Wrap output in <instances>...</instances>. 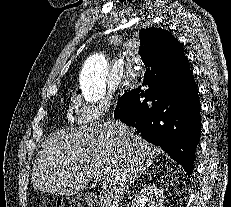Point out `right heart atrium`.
Returning <instances> with one entry per match:
<instances>
[{
	"label": "right heart atrium",
	"mask_w": 231,
	"mask_h": 207,
	"mask_svg": "<svg viewBox=\"0 0 231 207\" xmlns=\"http://www.w3.org/2000/svg\"><path fill=\"white\" fill-rule=\"evenodd\" d=\"M74 119L79 126H92L100 121L111 109V97H104L97 102H87L80 96L72 99Z\"/></svg>",
	"instance_id": "1"
}]
</instances>
